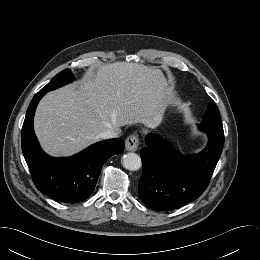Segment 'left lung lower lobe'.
Instances as JSON below:
<instances>
[{
  "label": "left lung lower lobe",
  "mask_w": 260,
  "mask_h": 260,
  "mask_svg": "<svg viewBox=\"0 0 260 260\" xmlns=\"http://www.w3.org/2000/svg\"><path fill=\"white\" fill-rule=\"evenodd\" d=\"M209 136L208 145L190 157L176 155L154 135L146 137L147 147L141 150L143 174L138 195L154 210L177 209L197 199L206 189L222 153L223 128L199 125Z\"/></svg>",
  "instance_id": "obj_1"
}]
</instances>
